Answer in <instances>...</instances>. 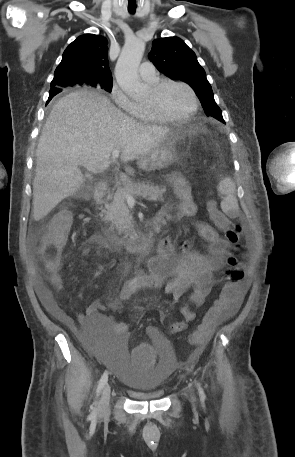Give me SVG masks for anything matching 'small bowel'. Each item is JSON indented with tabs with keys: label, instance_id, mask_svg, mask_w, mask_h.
Segmentation results:
<instances>
[{
	"label": "small bowel",
	"instance_id": "obj_1",
	"mask_svg": "<svg viewBox=\"0 0 295 457\" xmlns=\"http://www.w3.org/2000/svg\"><path fill=\"white\" fill-rule=\"evenodd\" d=\"M170 185L177 194L179 203L162 209L158 215L162 225L191 218L197 212L186 182L174 177L170 180ZM194 227L199 237L205 242L202 252L194 250L190 241L177 247L172 236H165L158 244L157 255L149 260L147 272L127 281L118 298L110 302V307L115 311H120L123 304L144 286L159 289L164 296H170L171 299L168 301L170 305L190 292L187 303L181 309L183 319L173 322L170 326L172 333L186 330L189 323L196 318V308L205 303L214 286V274L223 268L230 254V241L221 237L212 226L204 222H196ZM97 242L104 250L110 249L109 243L105 239L98 237ZM38 294L48 311L59 318H67L43 285L38 287ZM241 296L242 292L232 311L238 308ZM161 319L163 320V317ZM80 320L85 329L92 334L113 332L125 335L128 331L126 323L103 314L98 304L89 306ZM147 333L155 342H162L161 332L156 326H149Z\"/></svg>",
	"mask_w": 295,
	"mask_h": 457
}]
</instances>
